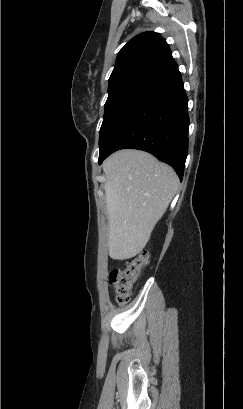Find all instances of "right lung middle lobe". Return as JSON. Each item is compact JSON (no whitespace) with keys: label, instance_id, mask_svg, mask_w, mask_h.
<instances>
[{"label":"right lung middle lobe","instance_id":"obj_1","mask_svg":"<svg viewBox=\"0 0 243 409\" xmlns=\"http://www.w3.org/2000/svg\"><path fill=\"white\" fill-rule=\"evenodd\" d=\"M160 82L161 80L157 78L138 76L109 86L104 120L100 129V152L119 125Z\"/></svg>","mask_w":243,"mask_h":409}]
</instances>
